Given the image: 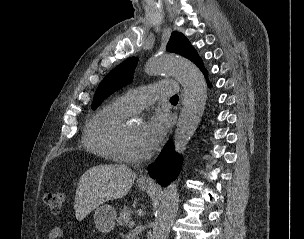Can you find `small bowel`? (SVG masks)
<instances>
[{"instance_id": "small-bowel-1", "label": "small bowel", "mask_w": 304, "mask_h": 239, "mask_svg": "<svg viewBox=\"0 0 304 239\" xmlns=\"http://www.w3.org/2000/svg\"><path fill=\"white\" fill-rule=\"evenodd\" d=\"M64 237V230L60 227H53L49 232V239H61Z\"/></svg>"}]
</instances>
